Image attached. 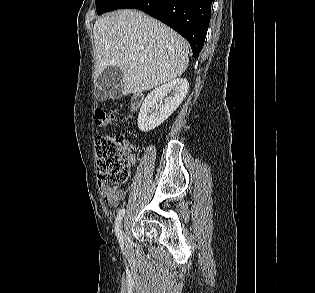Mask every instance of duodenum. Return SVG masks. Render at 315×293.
Wrapping results in <instances>:
<instances>
[{
    "label": "duodenum",
    "mask_w": 315,
    "mask_h": 293,
    "mask_svg": "<svg viewBox=\"0 0 315 293\" xmlns=\"http://www.w3.org/2000/svg\"><path fill=\"white\" fill-rule=\"evenodd\" d=\"M142 100H143L142 94H136V95H134V97H133V99H132V108H133L134 110L137 109V108L140 106Z\"/></svg>",
    "instance_id": "obj_1"
}]
</instances>
